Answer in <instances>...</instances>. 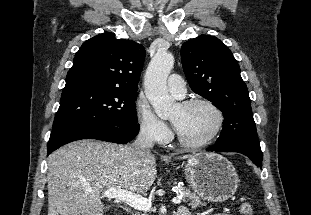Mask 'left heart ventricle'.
<instances>
[{"mask_svg": "<svg viewBox=\"0 0 311 215\" xmlns=\"http://www.w3.org/2000/svg\"><path fill=\"white\" fill-rule=\"evenodd\" d=\"M170 120L177 127L182 138L190 142L205 139L216 125L215 113L205 105L182 108L179 104L170 115Z\"/></svg>", "mask_w": 311, "mask_h": 215, "instance_id": "obj_1", "label": "left heart ventricle"}]
</instances>
